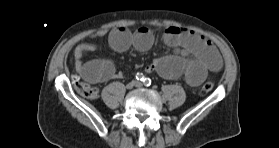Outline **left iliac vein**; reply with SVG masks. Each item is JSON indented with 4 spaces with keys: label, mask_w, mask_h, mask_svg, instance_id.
Returning <instances> with one entry per match:
<instances>
[{
    "label": "left iliac vein",
    "mask_w": 279,
    "mask_h": 148,
    "mask_svg": "<svg viewBox=\"0 0 279 148\" xmlns=\"http://www.w3.org/2000/svg\"><path fill=\"white\" fill-rule=\"evenodd\" d=\"M134 86L141 88L143 85L140 82H134Z\"/></svg>",
    "instance_id": "4c4485c4"
}]
</instances>
